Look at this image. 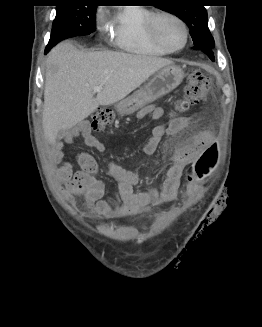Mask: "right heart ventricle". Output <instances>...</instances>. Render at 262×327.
<instances>
[{"instance_id":"obj_1","label":"right heart ventricle","mask_w":262,"mask_h":327,"mask_svg":"<svg viewBox=\"0 0 262 327\" xmlns=\"http://www.w3.org/2000/svg\"><path fill=\"white\" fill-rule=\"evenodd\" d=\"M153 12L142 7H123L110 22L112 43L135 54L164 56L170 52L151 37L147 23Z\"/></svg>"}]
</instances>
